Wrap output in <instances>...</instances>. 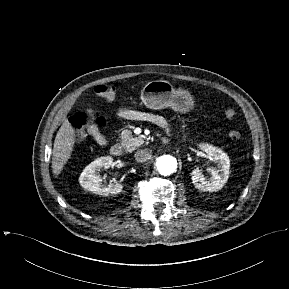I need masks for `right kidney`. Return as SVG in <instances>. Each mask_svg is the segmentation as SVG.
I'll list each match as a JSON object with an SVG mask.
<instances>
[{
	"mask_svg": "<svg viewBox=\"0 0 289 289\" xmlns=\"http://www.w3.org/2000/svg\"><path fill=\"white\" fill-rule=\"evenodd\" d=\"M112 165L113 159L110 156L100 157L91 162L85 167L79 177L80 185L84 189L98 195L108 196L110 194L116 195L120 193L123 189V186L120 183H110L106 186L102 184L101 178L97 175L101 169H107Z\"/></svg>",
	"mask_w": 289,
	"mask_h": 289,
	"instance_id": "1",
	"label": "right kidney"
}]
</instances>
